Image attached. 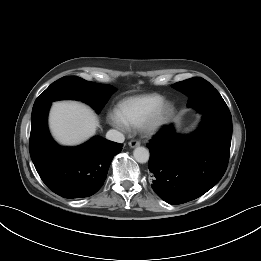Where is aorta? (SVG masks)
<instances>
[{
	"mask_svg": "<svg viewBox=\"0 0 261 261\" xmlns=\"http://www.w3.org/2000/svg\"><path fill=\"white\" fill-rule=\"evenodd\" d=\"M133 156L134 159L138 163H146L149 160V151L145 147H136L135 150L133 151Z\"/></svg>",
	"mask_w": 261,
	"mask_h": 261,
	"instance_id": "aorta-1",
	"label": "aorta"
}]
</instances>
